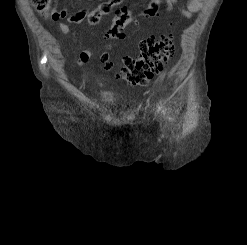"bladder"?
<instances>
[{"mask_svg": "<svg viewBox=\"0 0 247 245\" xmlns=\"http://www.w3.org/2000/svg\"><path fill=\"white\" fill-rule=\"evenodd\" d=\"M101 97L106 102L114 101V93L109 89H103L101 92Z\"/></svg>", "mask_w": 247, "mask_h": 245, "instance_id": "1", "label": "bladder"}]
</instances>
